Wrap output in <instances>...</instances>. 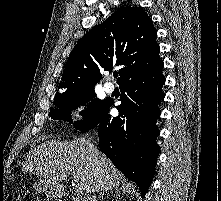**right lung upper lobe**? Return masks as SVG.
<instances>
[{
  "label": "right lung upper lobe",
  "mask_w": 221,
  "mask_h": 201,
  "mask_svg": "<svg viewBox=\"0 0 221 201\" xmlns=\"http://www.w3.org/2000/svg\"><path fill=\"white\" fill-rule=\"evenodd\" d=\"M157 31L141 7H122L94 26L72 50L55 96L93 89L102 71L121 66L118 83L156 66Z\"/></svg>",
  "instance_id": "1"
}]
</instances>
